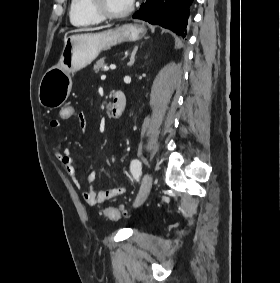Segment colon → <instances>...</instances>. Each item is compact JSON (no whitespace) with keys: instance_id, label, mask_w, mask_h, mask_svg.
Masks as SVG:
<instances>
[{"instance_id":"1","label":"colon","mask_w":280,"mask_h":283,"mask_svg":"<svg viewBox=\"0 0 280 283\" xmlns=\"http://www.w3.org/2000/svg\"><path fill=\"white\" fill-rule=\"evenodd\" d=\"M73 112H77L75 104H62V107L59 108L57 118L61 119L62 122H69L72 119ZM123 213L124 210L121 208L109 207L105 210V217L110 221H116Z\"/></svg>"}]
</instances>
